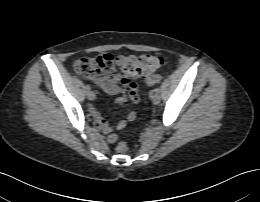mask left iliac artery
I'll return each instance as SVG.
<instances>
[{"mask_svg": "<svg viewBox=\"0 0 260 202\" xmlns=\"http://www.w3.org/2000/svg\"><path fill=\"white\" fill-rule=\"evenodd\" d=\"M154 92L159 93L160 92V88H158V87L155 88Z\"/></svg>", "mask_w": 260, "mask_h": 202, "instance_id": "obj_1", "label": "left iliac artery"}]
</instances>
